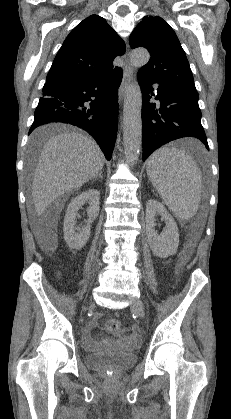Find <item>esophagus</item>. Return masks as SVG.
<instances>
[{"label": "esophagus", "instance_id": "obj_1", "mask_svg": "<svg viewBox=\"0 0 231 419\" xmlns=\"http://www.w3.org/2000/svg\"><path fill=\"white\" fill-rule=\"evenodd\" d=\"M133 74H134V68L129 63H126L124 67L122 82L119 88V95L121 99H123L126 93V90L133 78Z\"/></svg>", "mask_w": 231, "mask_h": 419}]
</instances>
